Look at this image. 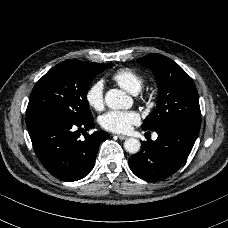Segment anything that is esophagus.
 <instances>
[{
	"label": "esophagus",
	"mask_w": 228,
	"mask_h": 228,
	"mask_svg": "<svg viewBox=\"0 0 228 228\" xmlns=\"http://www.w3.org/2000/svg\"><path fill=\"white\" fill-rule=\"evenodd\" d=\"M118 138L120 139V140H125V139H127L128 138V136H126V135H118Z\"/></svg>",
	"instance_id": "esophagus-1"
}]
</instances>
